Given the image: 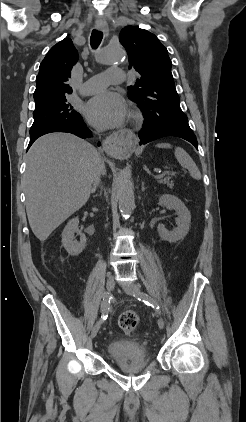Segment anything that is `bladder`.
I'll use <instances>...</instances> for the list:
<instances>
[{
  "instance_id": "obj_1",
  "label": "bladder",
  "mask_w": 246,
  "mask_h": 422,
  "mask_svg": "<svg viewBox=\"0 0 246 422\" xmlns=\"http://www.w3.org/2000/svg\"><path fill=\"white\" fill-rule=\"evenodd\" d=\"M109 358L118 365L143 363L148 361V351L144 344L132 339H118L107 346Z\"/></svg>"
}]
</instances>
